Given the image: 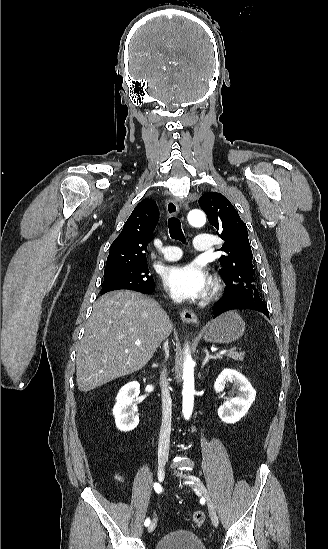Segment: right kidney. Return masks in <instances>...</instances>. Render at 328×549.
<instances>
[{
  "label": "right kidney",
  "mask_w": 328,
  "mask_h": 549,
  "mask_svg": "<svg viewBox=\"0 0 328 549\" xmlns=\"http://www.w3.org/2000/svg\"><path fill=\"white\" fill-rule=\"evenodd\" d=\"M140 393V385L137 381L127 383L124 387H121L117 397L116 405H114L113 415L115 417V423L119 431H133L139 423V417L137 413V405H135V399Z\"/></svg>",
  "instance_id": "ca27d5eb"
}]
</instances>
